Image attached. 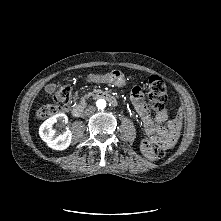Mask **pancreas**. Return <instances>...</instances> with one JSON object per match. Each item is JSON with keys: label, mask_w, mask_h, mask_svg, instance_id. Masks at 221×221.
I'll return each instance as SVG.
<instances>
[{"label": "pancreas", "mask_w": 221, "mask_h": 221, "mask_svg": "<svg viewBox=\"0 0 221 221\" xmlns=\"http://www.w3.org/2000/svg\"><path fill=\"white\" fill-rule=\"evenodd\" d=\"M89 97V95H85L84 97L81 98L82 101H84L85 99H87Z\"/></svg>", "instance_id": "obj_1"}]
</instances>
